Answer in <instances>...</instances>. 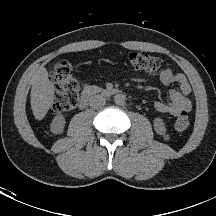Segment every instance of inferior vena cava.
I'll return each instance as SVG.
<instances>
[{"label":"inferior vena cava","instance_id":"1","mask_svg":"<svg viewBox=\"0 0 216 216\" xmlns=\"http://www.w3.org/2000/svg\"><path fill=\"white\" fill-rule=\"evenodd\" d=\"M105 103L106 99L102 95H93L89 99V105L94 109L102 108L105 105Z\"/></svg>","mask_w":216,"mask_h":216}]
</instances>
